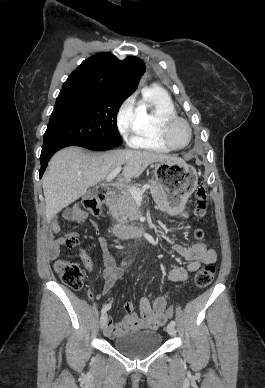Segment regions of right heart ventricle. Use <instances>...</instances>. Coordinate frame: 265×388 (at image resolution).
Masks as SVG:
<instances>
[{
	"instance_id": "right-heart-ventricle-1",
	"label": "right heart ventricle",
	"mask_w": 265,
	"mask_h": 388,
	"mask_svg": "<svg viewBox=\"0 0 265 388\" xmlns=\"http://www.w3.org/2000/svg\"><path fill=\"white\" fill-rule=\"evenodd\" d=\"M140 115L135 127L132 144L154 151L167 152L171 147L161 136L163 119L175 114V108L165 91H147L144 99L139 102Z\"/></svg>"
}]
</instances>
